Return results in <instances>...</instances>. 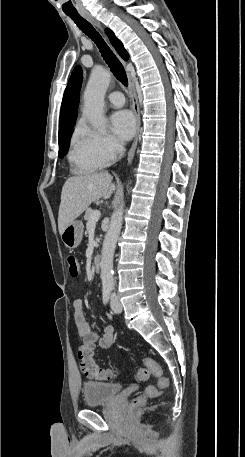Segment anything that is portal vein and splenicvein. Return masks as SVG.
Returning <instances> with one entry per match:
<instances>
[{
	"mask_svg": "<svg viewBox=\"0 0 245 457\" xmlns=\"http://www.w3.org/2000/svg\"><path fill=\"white\" fill-rule=\"evenodd\" d=\"M100 216H101L100 210H93V214H91V216H90V222H92V224H95V222H97V220H99Z\"/></svg>",
	"mask_w": 245,
	"mask_h": 457,
	"instance_id": "portal-vein-and-splenic-vein-1",
	"label": "portal vein and splenic vein"
}]
</instances>
